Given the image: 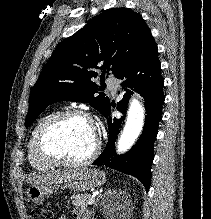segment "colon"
I'll use <instances>...</instances> for the list:
<instances>
[{
    "label": "colon",
    "mask_w": 211,
    "mask_h": 219,
    "mask_svg": "<svg viewBox=\"0 0 211 219\" xmlns=\"http://www.w3.org/2000/svg\"><path fill=\"white\" fill-rule=\"evenodd\" d=\"M31 219H54L49 210L42 208H33L30 212Z\"/></svg>",
    "instance_id": "5ec220e1"
}]
</instances>
